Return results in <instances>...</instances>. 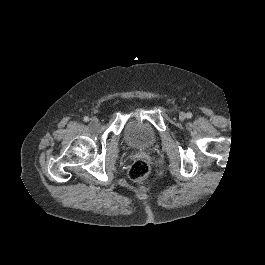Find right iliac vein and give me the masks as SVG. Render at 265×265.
<instances>
[{
	"instance_id": "63e3f726",
	"label": "right iliac vein",
	"mask_w": 265,
	"mask_h": 265,
	"mask_svg": "<svg viewBox=\"0 0 265 265\" xmlns=\"http://www.w3.org/2000/svg\"><path fill=\"white\" fill-rule=\"evenodd\" d=\"M90 122L92 124H96L98 122V119L96 117L91 118Z\"/></svg>"
}]
</instances>
